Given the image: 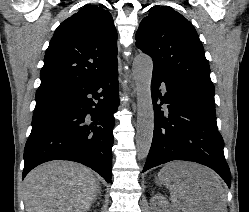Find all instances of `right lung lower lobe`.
<instances>
[{"mask_svg": "<svg viewBox=\"0 0 249 212\" xmlns=\"http://www.w3.org/2000/svg\"><path fill=\"white\" fill-rule=\"evenodd\" d=\"M118 91L116 66L96 80L36 95L23 178L37 165L60 159L82 163L110 183Z\"/></svg>", "mask_w": 249, "mask_h": 212, "instance_id": "98d812e1", "label": "right lung lower lobe"}]
</instances>
